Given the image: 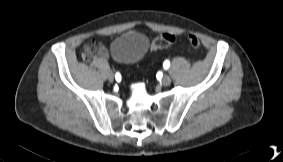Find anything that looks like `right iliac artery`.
I'll return each mask as SVG.
<instances>
[{"label":"right iliac artery","instance_id":"right-iliac-artery-1","mask_svg":"<svg viewBox=\"0 0 283 162\" xmlns=\"http://www.w3.org/2000/svg\"><path fill=\"white\" fill-rule=\"evenodd\" d=\"M121 71L120 70H117L116 71V80H117V83H120L121 82Z\"/></svg>","mask_w":283,"mask_h":162}]
</instances>
